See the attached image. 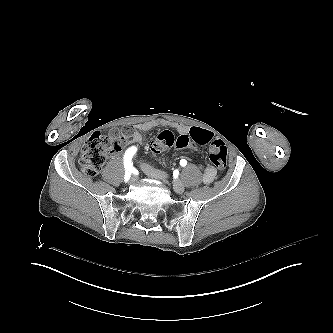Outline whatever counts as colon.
I'll return each mask as SVG.
<instances>
[{"label":"colon","instance_id":"1","mask_svg":"<svg viewBox=\"0 0 333 333\" xmlns=\"http://www.w3.org/2000/svg\"><path fill=\"white\" fill-rule=\"evenodd\" d=\"M187 133H178V127L173 125L164 128L153 138L150 143V153L152 156L173 147L181 149L189 144L196 152H199L205 146H210L209 159L218 169H224L227 166V148L223 140L215 138V133L202 130L199 127H187ZM133 132L131 128L124 126L117 129H111L108 133L102 132L98 135H91L83 146L80 164L88 176L97 175L107 156L123 143L131 140ZM175 137L177 139H175Z\"/></svg>","mask_w":333,"mask_h":333}]
</instances>
